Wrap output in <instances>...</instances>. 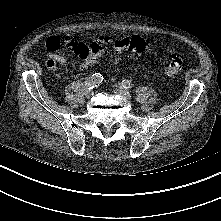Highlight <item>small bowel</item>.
I'll return each instance as SVG.
<instances>
[{
    "instance_id": "c3829d8e",
    "label": "small bowel",
    "mask_w": 221,
    "mask_h": 221,
    "mask_svg": "<svg viewBox=\"0 0 221 221\" xmlns=\"http://www.w3.org/2000/svg\"><path fill=\"white\" fill-rule=\"evenodd\" d=\"M65 46L67 49H69L71 52L78 55L79 57L80 51L87 47L85 44L70 38L66 39ZM46 47L49 50L45 63L48 69L54 71L56 70L57 66L63 67L66 65L65 57L57 52L60 48V41L57 37L48 38L46 40ZM148 51L149 53H153V48L149 46Z\"/></svg>"
}]
</instances>
